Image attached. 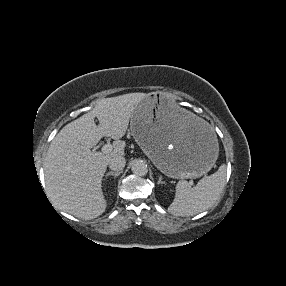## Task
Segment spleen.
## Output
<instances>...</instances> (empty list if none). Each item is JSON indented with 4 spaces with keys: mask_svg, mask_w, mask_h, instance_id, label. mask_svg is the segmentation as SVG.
<instances>
[{
    "mask_svg": "<svg viewBox=\"0 0 286 286\" xmlns=\"http://www.w3.org/2000/svg\"><path fill=\"white\" fill-rule=\"evenodd\" d=\"M225 178L226 166L221 165L217 172L202 178L194 187L186 180H180L169 212L176 216H193L209 209L220 197Z\"/></svg>",
    "mask_w": 286,
    "mask_h": 286,
    "instance_id": "3e777b00",
    "label": "spleen"
}]
</instances>
